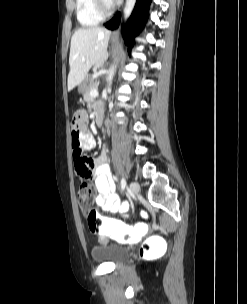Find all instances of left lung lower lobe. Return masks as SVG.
<instances>
[{
	"label": "left lung lower lobe",
	"mask_w": 247,
	"mask_h": 304,
	"mask_svg": "<svg viewBox=\"0 0 247 304\" xmlns=\"http://www.w3.org/2000/svg\"><path fill=\"white\" fill-rule=\"evenodd\" d=\"M151 1L152 0H137L136 2L133 13L129 18L125 29L123 30L125 43L129 47H132L134 36L142 29L147 20ZM120 19L121 14L118 13L114 18L105 24V27L111 30L116 29L119 26Z\"/></svg>",
	"instance_id": "0a47b994"
}]
</instances>
